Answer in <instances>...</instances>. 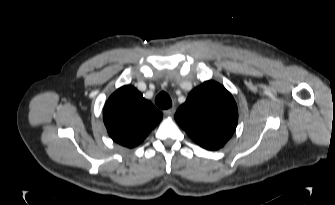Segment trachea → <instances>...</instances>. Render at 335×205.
Segmentation results:
<instances>
[{"label":"trachea","mask_w":335,"mask_h":205,"mask_svg":"<svg viewBox=\"0 0 335 205\" xmlns=\"http://www.w3.org/2000/svg\"><path fill=\"white\" fill-rule=\"evenodd\" d=\"M155 104L161 109H168L172 106V101L166 92H161L155 98Z\"/></svg>","instance_id":"1"}]
</instances>
